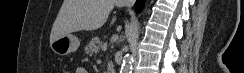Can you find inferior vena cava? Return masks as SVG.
<instances>
[{
  "mask_svg": "<svg viewBox=\"0 0 244 73\" xmlns=\"http://www.w3.org/2000/svg\"><path fill=\"white\" fill-rule=\"evenodd\" d=\"M123 5L131 7L133 5V0H125V1H123Z\"/></svg>",
  "mask_w": 244,
  "mask_h": 73,
  "instance_id": "obj_1",
  "label": "inferior vena cava"
}]
</instances>
